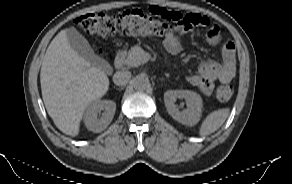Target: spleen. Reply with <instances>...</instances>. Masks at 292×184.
I'll list each match as a JSON object with an SVG mask.
<instances>
[{
    "instance_id": "obj_1",
    "label": "spleen",
    "mask_w": 292,
    "mask_h": 184,
    "mask_svg": "<svg viewBox=\"0 0 292 184\" xmlns=\"http://www.w3.org/2000/svg\"><path fill=\"white\" fill-rule=\"evenodd\" d=\"M229 108L218 109L211 112L202 122L199 135L207 136L218 130L229 116Z\"/></svg>"
}]
</instances>
